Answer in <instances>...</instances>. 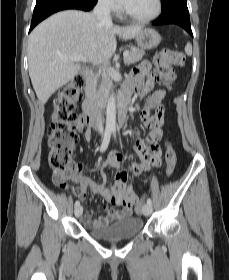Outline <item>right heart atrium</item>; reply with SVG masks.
<instances>
[{"label":"right heart atrium","mask_w":229,"mask_h":280,"mask_svg":"<svg viewBox=\"0 0 229 280\" xmlns=\"http://www.w3.org/2000/svg\"><path fill=\"white\" fill-rule=\"evenodd\" d=\"M101 7L109 13H118L120 5L118 0H98Z\"/></svg>","instance_id":"1"}]
</instances>
